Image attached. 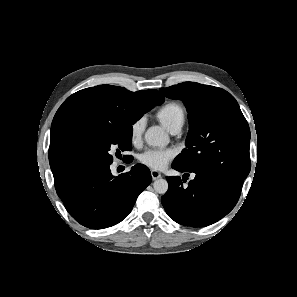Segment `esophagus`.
<instances>
[{"label": "esophagus", "mask_w": 297, "mask_h": 297, "mask_svg": "<svg viewBox=\"0 0 297 297\" xmlns=\"http://www.w3.org/2000/svg\"><path fill=\"white\" fill-rule=\"evenodd\" d=\"M151 176H152L153 180H157V179L161 178L160 172H158L156 170H151Z\"/></svg>", "instance_id": "1"}]
</instances>
